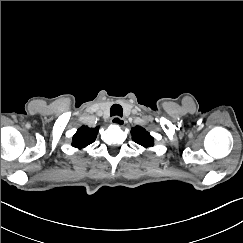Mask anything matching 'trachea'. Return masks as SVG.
Instances as JSON below:
<instances>
[{"label":"trachea","mask_w":243,"mask_h":243,"mask_svg":"<svg viewBox=\"0 0 243 243\" xmlns=\"http://www.w3.org/2000/svg\"><path fill=\"white\" fill-rule=\"evenodd\" d=\"M110 115L122 117L123 109H122L121 105H119V104L112 105V107L110 109Z\"/></svg>","instance_id":"3493384b"}]
</instances>
